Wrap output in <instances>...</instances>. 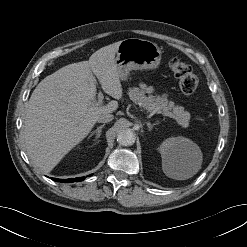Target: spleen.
Listing matches in <instances>:
<instances>
[{"mask_svg":"<svg viewBox=\"0 0 247 247\" xmlns=\"http://www.w3.org/2000/svg\"><path fill=\"white\" fill-rule=\"evenodd\" d=\"M170 176L175 177V178H180V179H184V178H188L189 175L186 173H182V172H178V171H171L169 172Z\"/></svg>","mask_w":247,"mask_h":247,"instance_id":"1","label":"spleen"}]
</instances>
